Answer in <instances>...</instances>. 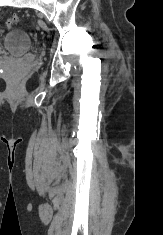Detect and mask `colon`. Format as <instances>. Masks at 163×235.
<instances>
[{"label": "colon", "instance_id": "1", "mask_svg": "<svg viewBox=\"0 0 163 235\" xmlns=\"http://www.w3.org/2000/svg\"><path fill=\"white\" fill-rule=\"evenodd\" d=\"M19 22V17L17 15H12L9 17L6 21L7 27H12L16 25Z\"/></svg>", "mask_w": 163, "mask_h": 235}]
</instances>
